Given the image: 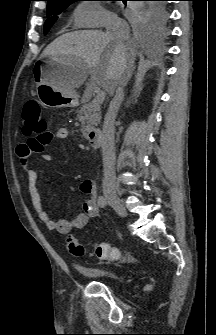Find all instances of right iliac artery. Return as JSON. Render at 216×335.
<instances>
[{
	"label": "right iliac artery",
	"instance_id": "82829eb1",
	"mask_svg": "<svg viewBox=\"0 0 216 335\" xmlns=\"http://www.w3.org/2000/svg\"><path fill=\"white\" fill-rule=\"evenodd\" d=\"M98 204L101 208H104L107 205L106 199L103 196H99ZM119 236L121 237L120 233Z\"/></svg>",
	"mask_w": 216,
	"mask_h": 335
}]
</instances>
